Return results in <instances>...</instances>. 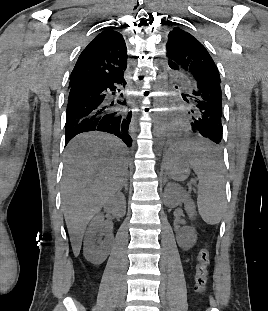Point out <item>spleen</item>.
Wrapping results in <instances>:
<instances>
[{"mask_svg":"<svg viewBox=\"0 0 268 311\" xmlns=\"http://www.w3.org/2000/svg\"><path fill=\"white\" fill-rule=\"evenodd\" d=\"M190 147V165L199 179L197 206L202 219L218 224L225 207V187L220 149L207 140H185Z\"/></svg>","mask_w":268,"mask_h":311,"instance_id":"spleen-1","label":"spleen"}]
</instances>
